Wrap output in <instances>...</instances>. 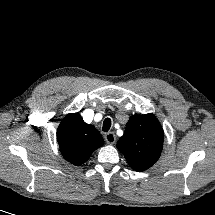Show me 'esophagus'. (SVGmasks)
<instances>
[{
    "label": "esophagus",
    "instance_id": "34e87169",
    "mask_svg": "<svg viewBox=\"0 0 215 215\" xmlns=\"http://www.w3.org/2000/svg\"><path fill=\"white\" fill-rule=\"evenodd\" d=\"M104 138L108 144H114L116 142V136L113 132L106 133Z\"/></svg>",
    "mask_w": 215,
    "mask_h": 215
}]
</instances>
